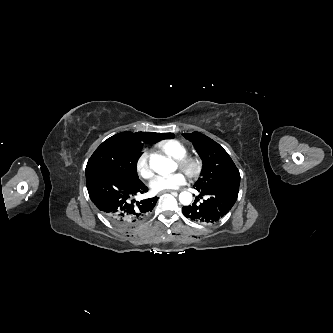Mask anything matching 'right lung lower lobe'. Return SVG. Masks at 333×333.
Wrapping results in <instances>:
<instances>
[{
	"mask_svg": "<svg viewBox=\"0 0 333 333\" xmlns=\"http://www.w3.org/2000/svg\"><path fill=\"white\" fill-rule=\"evenodd\" d=\"M91 201L104 216L121 228L135 225L152 212L157 197L135 202L134 197L148 191L142 181L127 179L104 170L86 173Z\"/></svg>",
	"mask_w": 333,
	"mask_h": 333,
	"instance_id": "right-lung-lower-lobe-1",
	"label": "right lung lower lobe"
}]
</instances>
